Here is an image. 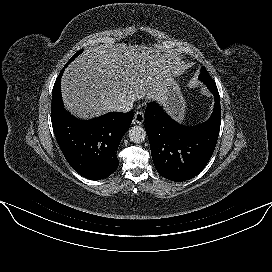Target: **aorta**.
<instances>
[{
  "instance_id": "762f6f07",
  "label": "aorta",
  "mask_w": 272,
  "mask_h": 272,
  "mask_svg": "<svg viewBox=\"0 0 272 272\" xmlns=\"http://www.w3.org/2000/svg\"><path fill=\"white\" fill-rule=\"evenodd\" d=\"M129 138L134 143H142L146 139V131L141 126H132L128 131Z\"/></svg>"
}]
</instances>
